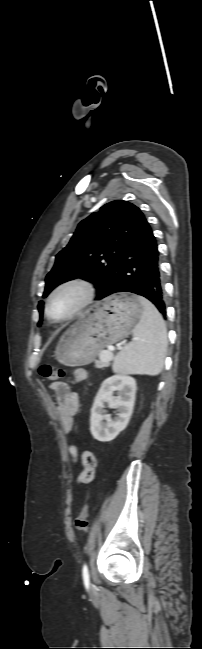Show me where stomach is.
Instances as JSON below:
<instances>
[{"label": "stomach", "instance_id": "stomach-1", "mask_svg": "<svg viewBox=\"0 0 202 649\" xmlns=\"http://www.w3.org/2000/svg\"><path fill=\"white\" fill-rule=\"evenodd\" d=\"M143 306L137 295H112L76 321L60 338L55 359L66 366L92 362L108 345L125 338L139 322Z\"/></svg>", "mask_w": 202, "mask_h": 649}]
</instances>
